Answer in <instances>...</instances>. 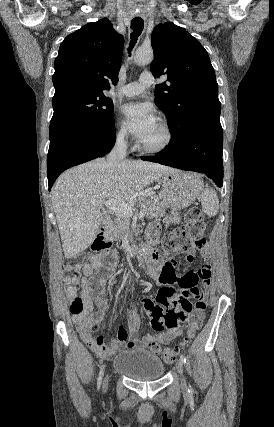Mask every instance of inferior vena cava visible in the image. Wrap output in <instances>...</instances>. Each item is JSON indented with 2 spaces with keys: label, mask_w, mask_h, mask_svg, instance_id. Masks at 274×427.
<instances>
[{
  "label": "inferior vena cava",
  "mask_w": 274,
  "mask_h": 427,
  "mask_svg": "<svg viewBox=\"0 0 274 427\" xmlns=\"http://www.w3.org/2000/svg\"><path fill=\"white\" fill-rule=\"evenodd\" d=\"M127 142H125V136H118L114 148H112L110 154L107 156L108 166H116L120 160L126 158Z\"/></svg>",
  "instance_id": "obj_1"
}]
</instances>
